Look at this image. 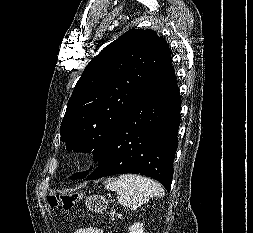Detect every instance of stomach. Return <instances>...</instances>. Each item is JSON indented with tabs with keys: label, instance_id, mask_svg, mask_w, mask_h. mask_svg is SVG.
Listing matches in <instances>:
<instances>
[{
	"label": "stomach",
	"instance_id": "stomach-1",
	"mask_svg": "<svg viewBox=\"0 0 253 233\" xmlns=\"http://www.w3.org/2000/svg\"><path fill=\"white\" fill-rule=\"evenodd\" d=\"M86 207L92 212H103L107 209L108 200L101 195L92 194L85 199Z\"/></svg>",
	"mask_w": 253,
	"mask_h": 233
}]
</instances>
